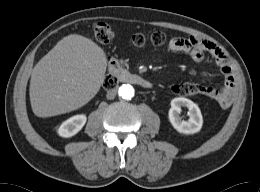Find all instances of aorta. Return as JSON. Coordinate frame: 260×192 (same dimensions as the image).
<instances>
[{
	"label": "aorta",
	"instance_id": "762f6f07",
	"mask_svg": "<svg viewBox=\"0 0 260 192\" xmlns=\"http://www.w3.org/2000/svg\"><path fill=\"white\" fill-rule=\"evenodd\" d=\"M118 94L122 99L130 100L134 96V88L129 84H123L119 87Z\"/></svg>",
	"mask_w": 260,
	"mask_h": 192
}]
</instances>
